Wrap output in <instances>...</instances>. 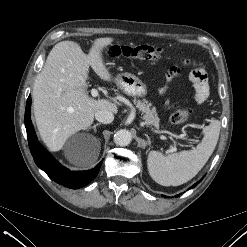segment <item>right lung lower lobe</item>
Wrapping results in <instances>:
<instances>
[{
	"label": "right lung lower lobe",
	"instance_id": "obj_1",
	"mask_svg": "<svg viewBox=\"0 0 247 247\" xmlns=\"http://www.w3.org/2000/svg\"><path fill=\"white\" fill-rule=\"evenodd\" d=\"M31 97L29 96L25 109V127L31 154L37 166L42 169L53 181L71 189H78L89 184L98 174L102 161L95 168L87 171H71L62 166L38 142L31 118Z\"/></svg>",
	"mask_w": 247,
	"mask_h": 247
}]
</instances>
